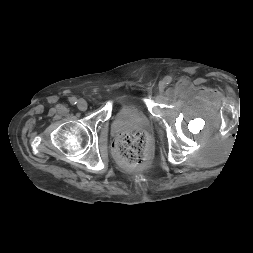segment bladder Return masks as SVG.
<instances>
[{
    "label": "bladder",
    "mask_w": 253,
    "mask_h": 253,
    "mask_svg": "<svg viewBox=\"0 0 253 253\" xmlns=\"http://www.w3.org/2000/svg\"><path fill=\"white\" fill-rule=\"evenodd\" d=\"M123 97H127V95H123Z\"/></svg>",
    "instance_id": "bladder-1"
}]
</instances>
